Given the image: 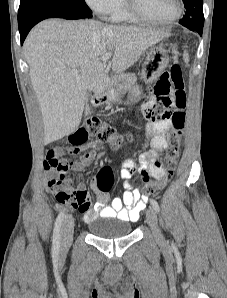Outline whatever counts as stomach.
<instances>
[{
  "label": "stomach",
  "instance_id": "0dacf381",
  "mask_svg": "<svg viewBox=\"0 0 227 298\" xmlns=\"http://www.w3.org/2000/svg\"><path fill=\"white\" fill-rule=\"evenodd\" d=\"M169 63L168 51L162 45H152L146 50V59L142 65L141 78L146 83L156 81L158 75H161L163 70ZM142 88L138 85H133L129 89L128 98L130 103H134L142 97ZM121 94H109L108 103H121Z\"/></svg>",
  "mask_w": 227,
  "mask_h": 298
}]
</instances>
